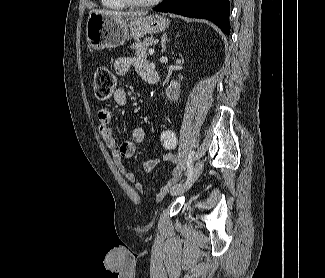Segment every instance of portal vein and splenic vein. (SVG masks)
<instances>
[{"label": "portal vein and splenic vein", "mask_w": 325, "mask_h": 278, "mask_svg": "<svg viewBox=\"0 0 325 278\" xmlns=\"http://www.w3.org/2000/svg\"><path fill=\"white\" fill-rule=\"evenodd\" d=\"M148 52H149L150 55H153L154 54V49L151 48V49H149Z\"/></svg>", "instance_id": "18ae733b"}]
</instances>
